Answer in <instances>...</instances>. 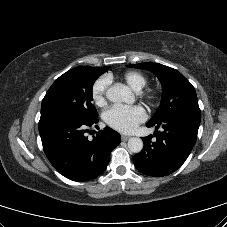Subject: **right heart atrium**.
<instances>
[{
	"instance_id": "d8ad5b80",
	"label": "right heart atrium",
	"mask_w": 227,
	"mask_h": 227,
	"mask_svg": "<svg viewBox=\"0 0 227 227\" xmlns=\"http://www.w3.org/2000/svg\"><path fill=\"white\" fill-rule=\"evenodd\" d=\"M110 84L107 76L97 79L91 88V98L97 106H103L106 102V92Z\"/></svg>"
}]
</instances>
